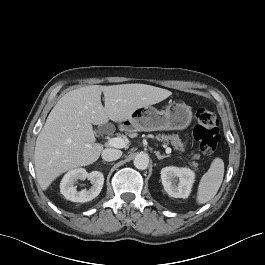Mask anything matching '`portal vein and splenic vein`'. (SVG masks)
<instances>
[{"mask_svg": "<svg viewBox=\"0 0 265 265\" xmlns=\"http://www.w3.org/2000/svg\"><path fill=\"white\" fill-rule=\"evenodd\" d=\"M108 145L115 148H124L126 147L127 142L121 137H114L108 140ZM166 153H171L170 147L166 148Z\"/></svg>", "mask_w": 265, "mask_h": 265, "instance_id": "obj_1", "label": "portal vein and splenic vein"}]
</instances>
